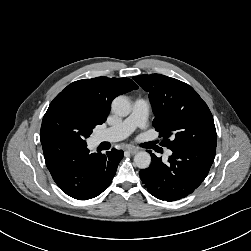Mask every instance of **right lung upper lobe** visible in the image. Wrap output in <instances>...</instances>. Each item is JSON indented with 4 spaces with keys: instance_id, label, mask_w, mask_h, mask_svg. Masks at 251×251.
Masks as SVG:
<instances>
[{
    "instance_id": "right-lung-upper-lobe-1",
    "label": "right lung upper lobe",
    "mask_w": 251,
    "mask_h": 251,
    "mask_svg": "<svg viewBox=\"0 0 251 251\" xmlns=\"http://www.w3.org/2000/svg\"><path fill=\"white\" fill-rule=\"evenodd\" d=\"M138 89L129 78L97 77L78 80L68 85L51 105L70 102L84 110L97 124L106 121L112 100L124 93Z\"/></svg>"
}]
</instances>
